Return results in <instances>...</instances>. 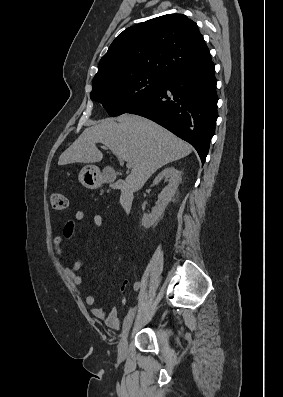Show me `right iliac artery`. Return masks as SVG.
<instances>
[{
  "label": "right iliac artery",
  "mask_w": 283,
  "mask_h": 397,
  "mask_svg": "<svg viewBox=\"0 0 283 397\" xmlns=\"http://www.w3.org/2000/svg\"><path fill=\"white\" fill-rule=\"evenodd\" d=\"M138 288H139V284L136 283L134 285L135 292H138ZM132 310H133L132 308L129 309L128 314H127L126 318L124 319V323H125L126 319L128 318V316L130 315V313L132 312Z\"/></svg>",
  "instance_id": "right-iliac-artery-1"
}]
</instances>
